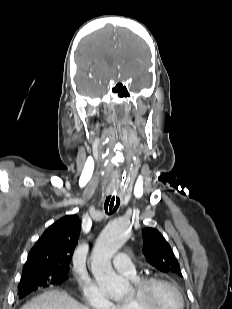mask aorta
<instances>
[{
    "mask_svg": "<svg viewBox=\"0 0 232 309\" xmlns=\"http://www.w3.org/2000/svg\"><path fill=\"white\" fill-rule=\"evenodd\" d=\"M128 238V223L114 219L97 238L91 255V269L97 283L115 301L121 300L126 295L130 285L127 279L114 272L111 259Z\"/></svg>",
    "mask_w": 232,
    "mask_h": 309,
    "instance_id": "762f6f07",
    "label": "aorta"
}]
</instances>
